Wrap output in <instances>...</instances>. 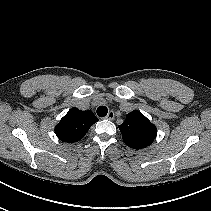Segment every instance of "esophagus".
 Returning <instances> with one entry per match:
<instances>
[{"label":"esophagus","mask_w":211,"mask_h":211,"mask_svg":"<svg viewBox=\"0 0 211 211\" xmlns=\"http://www.w3.org/2000/svg\"><path fill=\"white\" fill-rule=\"evenodd\" d=\"M114 117H115V113L113 111H110L105 118L108 120H113Z\"/></svg>","instance_id":"esophagus-1"}]
</instances>
